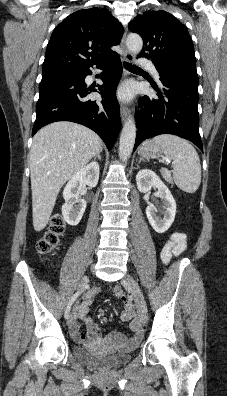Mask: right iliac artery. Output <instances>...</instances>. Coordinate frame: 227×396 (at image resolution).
Masks as SVG:
<instances>
[{
  "mask_svg": "<svg viewBox=\"0 0 227 396\" xmlns=\"http://www.w3.org/2000/svg\"><path fill=\"white\" fill-rule=\"evenodd\" d=\"M79 294H80V292L78 291L70 298V300L67 304L66 310H65V314H64L65 319L69 318L71 306L75 302V300L77 299Z\"/></svg>",
  "mask_w": 227,
  "mask_h": 396,
  "instance_id": "1",
  "label": "right iliac artery"
}]
</instances>
